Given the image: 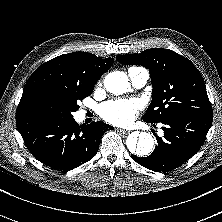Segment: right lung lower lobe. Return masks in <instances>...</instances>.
Wrapping results in <instances>:
<instances>
[{"mask_svg": "<svg viewBox=\"0 0 222 222\" xmlns=\"http://www.w3.org/2000/svg\"><path fill=\"white\" fill-rule=\"evenodd\" d=\"M16 126L36 159L62 171L72 170L92 159L104 132L113 129L101 121L79 125L74 118L46 114L16 118Z\"/></svg>", "mask_w": 222, "mask_h": 222, "instance_id": "right-lung-lower-lobe-1", "label": "right lung lower lobe"}]
</instances>
